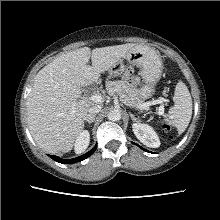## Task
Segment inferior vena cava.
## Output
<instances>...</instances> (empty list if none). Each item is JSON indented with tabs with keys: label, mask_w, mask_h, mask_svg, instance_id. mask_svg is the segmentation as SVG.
<instances>
[{
	"label": "inferior vena cava",
	"mask_w": 220,
	"mask_h": 220,
	"mask_svg": "<svg viewBox=\"0 0 220 220\" xmlns=\"http://www.w3.org/2000/svg\"><path fill=\"white\" fill-rule=\"evenodd\" d=\"M102 106L101 105H94L88 110V114L85 117L86 121H90L92 119V116L95 115L96 113L101 111Z\"/></svg>",
	"instance_id": "602c4592"
}]
</instances>
